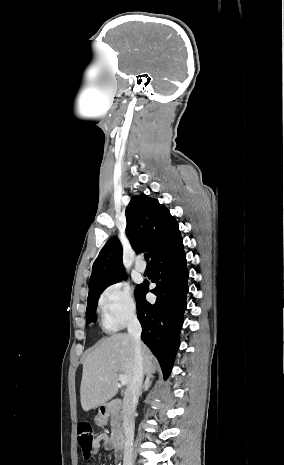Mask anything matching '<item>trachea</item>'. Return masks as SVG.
Wrapping results in <instances>:
<instances>
[{
	"instance_id": "trachea-1",
	"label": "trachea",
	"mask_w": 284,
	"mask_h": 465,
	"mask_svg": "<svg viewBox=\"0 0 284 465\" xmlns=\"http://www.w3.org/2000/svg\"><path fill=\"white\" fill-rule=\"evenodd\" d=\"M144 258H145V260L148 262V260H149V255H148V253H145V254H144Z\"/></svg>"
}]
</instances>
